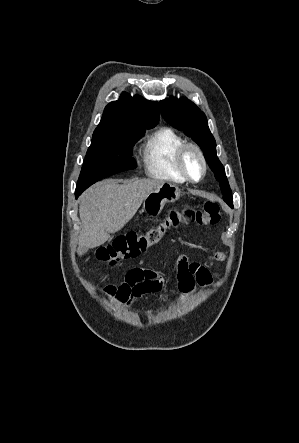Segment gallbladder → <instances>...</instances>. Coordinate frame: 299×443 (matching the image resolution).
<instances>
[{"label":"gallbladder","mask_w":299,"mask_h":443,"mask_svg":"<svg viewBox=\"0 0 299 443\" xmlns=\"http://www.w3.org/2000/svg\"><path fill=\"white\" fill-rule=\"evenodd\" d=\"M87 251H88L87 248H85V247H83V246H80V247L78 248L77 253H78L79 255H83V254H85Z\"/></svg>","instance_id":"1"}]
</instances>
